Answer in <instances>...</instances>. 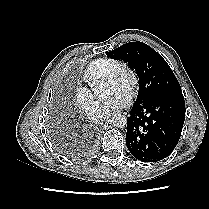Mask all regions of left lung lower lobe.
Returning a JSON list of instances; mask_svg holds the SVG:
<instances>
[{
    "label": "left lung lower lobe",
    "instance_id": "0a47b994",
    "mask_svg": "<svg viewBox=\"0 0 209 209\" xmlns=\"http://www.w3.org/2000/svg\"><path fill=\"white\" fill-rule=\"evenodd\" d=\"M184 120L185 101L181 90L134 104L127 118L128 150L143 162L163 160L176 147Z\"/></svg>",
    "mask_w": 209,
    "mask_h": 209
}]
</instances>
